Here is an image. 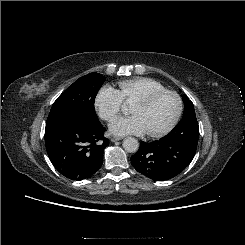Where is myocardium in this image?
Returning <instances> with one entry per match:
<instances>
[{
  "instance_id": "obj_1",
  "label": "myocardium",
  "mask_w": 245,
  "mask_h": 245,
  "mask_svg": "<svg viewBox=\"0 0 245 245\" xmlns=\"http://www.w3.org/2000/svg\"><path fill=\"white\" fill-rule=\"evenodd\" d=\"M166 94H171V95H174L176 97V99H177V111H176L173 119L171 120V122L165 128H163L159 131H156V132H147V135L152 137V138H158V137L165 136L175 128V126L179 122L181 115H182V112H183L182 98L179 95V93H177L176 91L165 89L162 91H158V92H154L151 94L141 96L134 101V103L150 104L154 100H156L157 98H159L163 95H166Z\"/></svg>"
}]
</instances>
